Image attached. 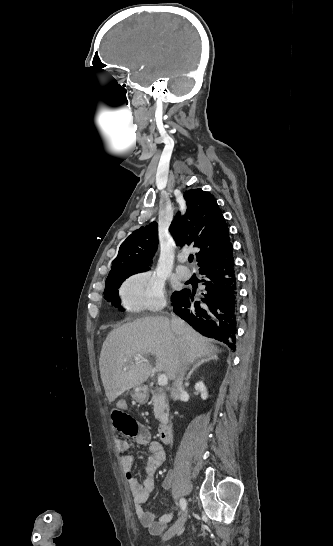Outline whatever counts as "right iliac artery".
I'll use <instances>...</instances> for the list:
<instances>
[{
    "label": "right iliac artery",
    "mask_w": 333,
    "mask_h": 546,
    "mask_svg": "<svg viewBox=\"0 0 333 546\" xmlns=\"http://www.w3.org/2000/svg\"><path fill=\"white\" fill-rule=\"evenodd\" d=\"M180 507L182 510H185L186 508V500L184 498L180 499Z\"/></svg>",
    "instance_id": "1"
}]
</instances>
